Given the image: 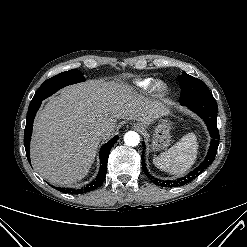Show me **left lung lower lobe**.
Masks as SVG:
<instances>
[{
    "mask_svg": "<svg viewBox=\"0 0 247 247\" xmlns=\"http://www.w3.org/2000/svg\"><path fill=\"white\" fill-rule=\"evenodd\" d=\"M181 105L187 106L190 110L198 114L206 123L211 139V144L209 151L207 153V156L205 157L204 161L191 173H189L187 176L174 180V181H161L154 177H152L145 165V159H144V152L142 153V168L144 173L147 175V177L151 178L152 182L155 184H160L162 186L166 187H175V186H182L186 183L191 182L193 179H195L199 174H201L215 159L218 145H219V131L217 128V110L218 106L214 99V97L202 99V100H194L189 102L181 103ZM144 147V143H142Z\"/></svg>",
    "mask_w": 247,
    "mask_h": 247,
    "instance_id": "0a47b994",
    "label": "left lung lower lobe"
}]
</instances>
